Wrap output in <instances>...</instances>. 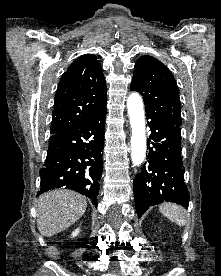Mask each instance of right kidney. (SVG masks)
<instances>
[{
  "instance_id": "ca27d5eb",
  "label": "right kidney",
  "mask_w": 221,
  "mask_h": 276,
  "mask_svg": "<svg viewBox=\"0 0 221 276\" xmlns=\"http://www.w3.org/2000/svg\"><path fill=\"white\" fill-rule=\"evenodd\" d=\"M79 233V229H76L73 233H72V237H75L77 236Z\"/></svg>"
}]
</instances>
